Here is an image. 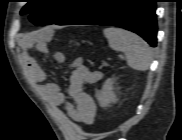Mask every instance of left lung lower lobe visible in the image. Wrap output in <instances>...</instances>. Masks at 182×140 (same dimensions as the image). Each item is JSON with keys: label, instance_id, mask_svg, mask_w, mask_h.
Wrapping results in <instances>:
<instances>
[{"label": "left lung lower lobe", "instance_id": "0a47b994", "mask_svg": "<svg viewBox=\"0 0 182 140\" xmlns=\"http://www.w3.org/2000/svg\"><path fill=\"white\" fill-rule=\"evenodd\" d=\"M156 2L157 0H101L72 24L121 27L139 34L152 47H156Z\"/></svg>", "mask_w": 182, "mask_h": 140}]
</instances>
